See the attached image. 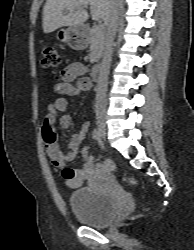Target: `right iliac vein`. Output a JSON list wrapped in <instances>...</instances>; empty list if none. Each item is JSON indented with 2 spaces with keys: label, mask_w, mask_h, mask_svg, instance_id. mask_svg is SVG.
I'll list each match as a JSON object with an SVG mask.
<instances>
[{
  "label": "right iliac vein",
  "mask_w": 194,
  "mask_h": 250,
  "mask_svg": "<svg viewBox=\"0 0 194 250\" xmlns=\"http://www.w3.org/2000/svg\"><path fill=\"white\" fill-rule=\"evenodd\" d=\"M97 126H98V131L100 133V136L102 138H105L107 134V129H106V123H105L104 118L100 117L97 119Z\"/></svg>",
  "instance_id": "right-iliac-vein-1"
}]
</instances>
